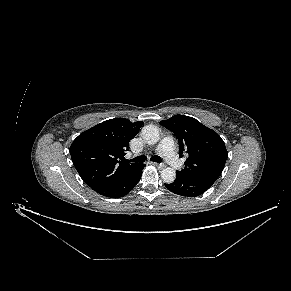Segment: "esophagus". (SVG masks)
I'll return each instance as SVG.
<instances>
[{
	"instance_id": "obj_1",
	"label": "esophagus",
	"mask_w": 291,
	"mask_h": 291,
	"mask_svg": "<svg viewBox=\"0 0 291 291\" xmlns=\"http://www.w3.org/2000/svg\"><path fill=\"white\" fill-rule=\"evenodd\" d=\"M155 166L158 168V169H163L165 167V164H162V163H155Z\"/></svg>"
}]
</instances>
